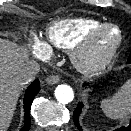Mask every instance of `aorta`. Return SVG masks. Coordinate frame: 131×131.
I'll return each mask as SVG.
<instances>
[{
    "label": "aorta",
    "mask_w": 131,
    "mask_h": 131,
    "mask_svg": "<svg viewBox=\"0 0 131 131\" xmlns=\"http://www.w3.org/2000/svg\"><path fill=\"white\" fill-rule=\"evenodd\" d=\"M55 98L61 104H68L73 101L74 93L69 85L61 84L55 89Z\"/></svg>",
    "instance_id": "762f6f07"
}]
</instances>
